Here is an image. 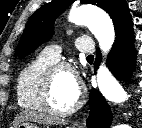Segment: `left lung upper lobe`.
Listing matches in <instances>:
<instances>
[{
	"label": "left lung upper lobe",
	"instance_id": "left-lung-upper-lobe-1",
	"mask_svg": "<svg viewBox=\"0 0 142 128\" xmlns=\"http://www.w3.org/2000/svg\"><path fill=\"white\" fill-rule=\"evenodd\" d=\"M74 2V0H53L39 8L28 20L19 41L15 55L25 57L32 53L53 34L55 19ZM104 9L113 20L116 34L130 23L132 17L125 0H81Z\"/></svg>",
	"mask_w": 142,
	"mask_h": 128
}]
</instances>
